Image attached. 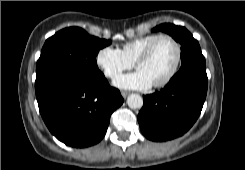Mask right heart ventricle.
Listing matches in <instances>:
<instances>
[{"label": "right heart ventricle", "mask_w": 245, "mask_h": 170, "mask_svg": "<svg viewBox=\"0 0 245 170\" xmlns=\"http://www.w3.org/2000/svg\"><path fill=\"white\" fill-rule=\"evenodd\" d=\"M160 34H149L125 43L122 52L132 62H135L139 53Z\"/></svg>", "instance_id": "1"}]
</instances>
